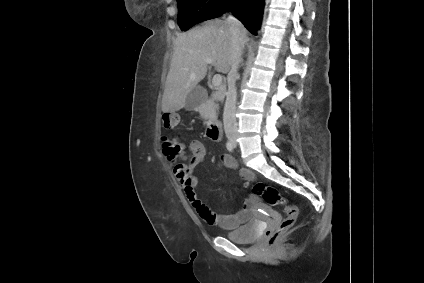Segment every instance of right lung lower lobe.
<instances>
[{
  "label": "right lung lower lobe",
  "instance_id": "1",
  "mask_svg": "<svg viewBox=\"0 0 424 283\" xmlns=\"http://www.w3.org/2000/svg\"><path fill=\"white\" fill-rule=\"evenodd\" d=\"M264 0H234L230 11L254 35L261 25Z\"/></svg>",
  "mask_w": 424,
  "mask_h": 283
}]
</instances>
